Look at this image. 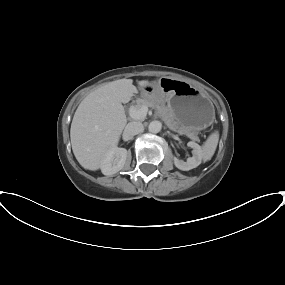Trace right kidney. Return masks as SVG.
Instances as JSON below:
<instances>
[{
    "label": "right kidney",
    "instance_id": "obj_1",
    "mask_svg": "<svg viewBox=\"0 0 285 285\" xmlns=\"http://www.w3.org/2000/svg\"><path fill=\"white\" fill-rule=\"evenodd\" d=\"M127 150L113 146L106 154L100 168L104 175L111 176L120 171L127 159Z\"/></svg>",
    "mask_w": 285,
    "mask_h": 285
}]
</instances>
